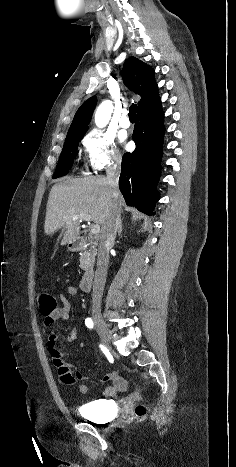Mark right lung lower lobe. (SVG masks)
Returning a JSON list of instances; mask_svg holds the SVG:
<instances>
[{"mask_svg":"<svg viewBox=\"0 0 236 467\" xmlns=\"http://www.w3.org/2000/svg\"><path fill=\"white\" fill-rule=\"evenodd\" d=\"M164 125L160 98L137 114L132 138L136 149L122 159L119 188L129 206L153 215L159 198L156 185L161 174Z\"/></svg>","mask_w":236,"mask_h":467,"instance_id":"1","label":"right lung lower lobe"}]
</instances>
